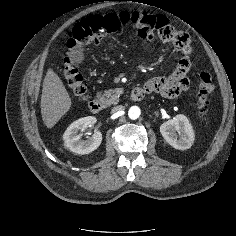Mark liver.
Segmentation results:
<instances>
[{
  "label": "liver",
  "instance_id": "obj_1",
  "mask_svg": "<svg viewBox=\"0 0 236 236\" xmlns=\"http://www.w3.org/2000/svg\"><path fill=\"white\" fill-rule=\"evenodd\" d=\"M71 98L60 77L49 68L43 81L41 114L47 128H52L71 107Z\"/></svg>",
  "mask_w": 236,
  "mask_h": 236
}]
</instances>
